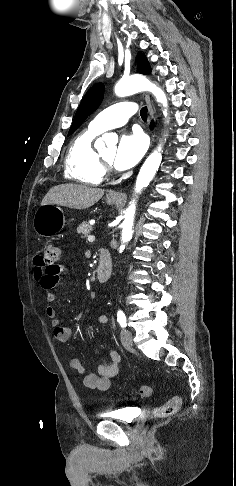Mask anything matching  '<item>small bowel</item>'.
I'll return each mask as SVG.
<instances>
[{
	"instance_id": "1",
	"label": "small bowel",
	"mask_w": 236,
	"mask_h": 486,
	"mask_svg": "<svg viewBox=\"0 0 236 486\" xmlns=\"http://www.w3.org/2000/svg\"><path fill=\"white\" fill-rule=\"evenodd\" d=\"M67 273L68 269L65 265L58 264L51 267L42 261L41 256H36L34 259V279L45 291V298L48 303H53L56 300V294L53 289L58 286L60 277ZM45 313L51 319V326L55 338L61 343L68 342L73 334L72 329L60 324L56 310L52 305L46 307ZM97 321L99 324H106L108 317L105 314H100ZM120 360L119 353L117 351H111L110 360L99 365L97 373H86L84 364L77 358L71 360V367L79 374L84 375L83 382L87 388L103 391L107 390L111 380L119 375Z\"/></svg>"
}]
</instances>
